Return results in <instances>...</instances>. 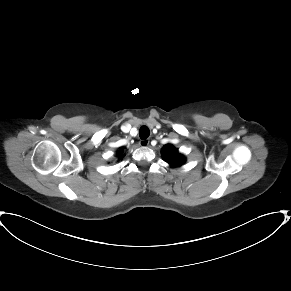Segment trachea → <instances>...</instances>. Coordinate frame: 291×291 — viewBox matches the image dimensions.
I'll use <instances>...</instances> for the list:
<instances>
[{"label":"trachea","instance_id":"1","mask_svg":"<svg viewBox=\"0 0 291 291\" xmlns=\"http://www.w3.org/2000/svg\"><path fill=\"white\" fill-rule=\"evenodd\" d=\"M150 135V130L146 126H142L139 130V136L141 139H147Z\"/></svg>","mask_w":291,"mask_h":291}]
</instances>
